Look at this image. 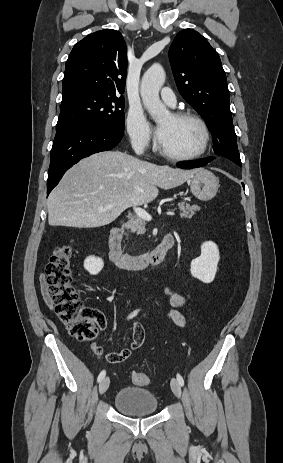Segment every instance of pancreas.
I'll return each mask as SVG.
<instances>
[{
  "instance_id": "pancreas-1",
  "label": "pancreas",
  "mask_w": 283,
  "mask_h": 463,
  "mask_svg": "<svg viewBox=\"0 0 283 463\" xmlns=\"http://www.w3.org/2000/svg\"><path fill=\"white\" fill-rule=\"evenodd\" d=\"M178 208L181 211L180 216L188 219L192 218L197 211L201 210L200 206H191L184 202L178 203ZM125 228L127 230L130 229L131 232H138L139 234H144L146 232L145 221L141 218H132L128 224L125 225Z\"/></svg>"
}]
</instances>
